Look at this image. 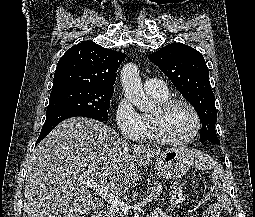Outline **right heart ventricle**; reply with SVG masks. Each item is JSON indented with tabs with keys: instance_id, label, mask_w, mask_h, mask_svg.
Masks as SVG:
<instances>
[{
	"instance_id": "1",
	"label": "right heart ventricle",
	"mask_w": 255,
	"mask_h": 217,
	"mask_svg": "<svg viewBox=\"0 0 255 217\" xmlns=\"http://www.w3.org/2000/svg\"><path fill=\"white\" fill-rule=\"evenodd\" d=\"M149 95L154 99V101L159 104L164 100L169 98L168 91L157 93V92H148ZM142 123H143V135L142 137L147 139H154L152 128H151V113H143L141 115Z\"/></svg>"
}]
</instances>
